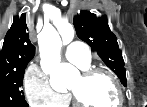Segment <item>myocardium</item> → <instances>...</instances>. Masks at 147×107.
I'll list each match as a JSON object with an SVG mask.
<instances>
[{
	"label": "myocardium",
	"instance_id": "myocardium-1",
	"mask_svg": "<svg viewBox=\"0 0 147 107\" xmlns=\"http://www.w3.org/2000/svg\"><path fill=\"white\" fill-rule=\"evenodd\" d=\"M105 75L107 76L112 83L114 84V87L116 89V94H117V98H116V103L114 104V106L112 107H119L122 105L123 103V89H122V85L120 83V81L118 80L117 76L111 72L108 69L105 68H101V67H91V68H87L82 72V78L83 79H91L96 75ZM71 96L73 99V104L76 107H88L87 105H85L76 95L75 92H71Z\"/></svg>",
	"mask_w": 147,
	"mask_h": 107
}]
</instances>
